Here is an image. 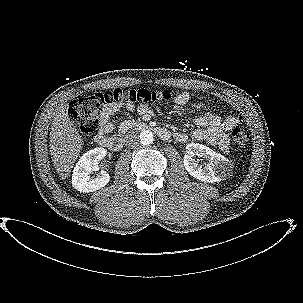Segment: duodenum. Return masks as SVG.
<instances>
[{
    "label": "duodenum",
    "mask_w": 303,
    "mask_h": 303,
    "mask_svg": "<svg viewBox=\"0 0 303 303\" xmlns=\"http://www.w3.org/2000/svg\"><path fill=\"white\" fill-rule=\"evenodd\" d=\"M137 129L140 130H149L155 132L162 139H169L170 133L168 130L159 127V126H151L148 123H137L135 125ZM98 141V140H97ZM102 146L108 148L111 151L118 152L123 147V141L120 137H111V138H100L98 141Z\"/></svg>",
    "instance_id": "duodenum-1"
}]
</instances>
